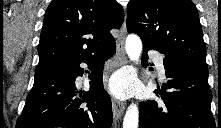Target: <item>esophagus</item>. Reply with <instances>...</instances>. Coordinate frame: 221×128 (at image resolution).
I'll return each mask as SVG.
<instances>
[{
	"mask_svg": "<svg viewBox=\"0 0 221 128\" xmlns=\"http://www.w3.org/2000/svg\"><path fill=\"white\" fill-rule=\"evenodd\" d=\"M126 36H127L126 21L124 20L123 25L119 32V36L117 38L116 57H117V62L119 64H124L127 62V57L125 52ZM112 108H113L114 118L119 119L125 110V103L114 98L112 99Z\"/></svg>",
	"mask_w": 221,
	"mask_h": 128,
	"instance_id": "esophagus-1",
	"label": "esophagus"
}]
</instances>
